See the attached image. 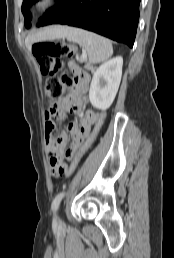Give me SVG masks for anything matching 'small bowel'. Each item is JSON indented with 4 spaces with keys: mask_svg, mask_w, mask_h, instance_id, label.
Wrapping results in <instances>:
<instances>
[{
    "mask_svg": "<svg viewBox=\"0 0 174 258\" xmlns=\"http://www.w3.org/2000/svg\"><path fill=\"white\" fill-rule=\"evenodd\" d=\"M68 69L75 75L77 79L76 95L73 98H65L53 104L45 113V140L47 145V156L51 164L52 178H63L68 175V170L65 163L71 160V156L81 146L86 134L90 133L93 123H96V118H82L81 124L78 126L72 122L68 128L73 135L71 144L66 148L68 136L65 133L58 137L54 135L56 124L54 118L64 119L66 112L77 113L82 107V94L85 92L89 82V73L82 70L76 63L70 62ZM98 108L95 104H90L87 112H83V117H96ZM58 147H62L59 149Z\"/></svg>",
    "mask_w": 174,
    "mask_h": 258,
    "instance_id": "obj_1",
    "label": "small bowel"
}]
</instances>
